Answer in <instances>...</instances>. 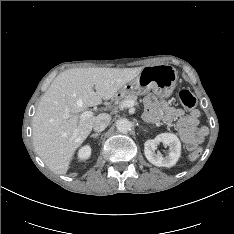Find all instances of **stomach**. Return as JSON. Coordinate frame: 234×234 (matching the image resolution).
<instances>
[{
    "label": "stomach",
    "instance_id": "obj_1",
    "mask_svg": "<svg viewBox=\"0 0 234 234\" xmlns=\"http://www.w3.org/2000/svg\"><path fill=\"white\" fill-rule=\"evenodd\" d=\"M176 81V70L169 65L145 66L140 74L124 84L117 94L123 97L130 94L144 95L152 91L160 98H168L175 88Z\"/></svg>",
    "mask_w": 234,
    "mask_h": 234
}]
</instances>
